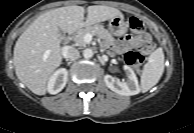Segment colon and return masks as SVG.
Wrapping results in <instances>:
<instances>
[{
    "label": "colon",
    "instance_id": "5ec220e1",
    "mask_svg": "<svg viewBox=\"0 0 194 133\" xmlns=\"http://www.w3.org/2000/svg\"><path fill=\"white\" fill-rule=\"evenodd\" d=\"M129 26L131 31L135 34H142L145 30L144 24L137 17H131L129 19ZM124 60L129 66L139 69L144 61V54L141 52V48H137L127 51L124 55Z\"/></svg>",
    "mask_w": 194,
    "mask_h": 133
}]
</instances>
